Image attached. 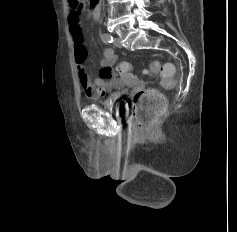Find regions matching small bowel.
Segmentation results:
<instances>
[{
    "instance_id": "small-bowel-1",
    "label": "small bowel",
    "mask_w": 237,
    "mask_h": 232,
    "mask_svg": "<svg viewBox=\"0 0 237 232\" xmlns=\"http://www.w3.org/2000/svg\"><path fill=\"white\" fill-rule=\"evenodd\" d=\"M99 10H94V16L97 17ZM69 29L74 44V54L79 73L80 85L85 95L91 99H98L109 95L108 102L115 101L123 89L124 83L113 69L117 56L112 48H106L103 51V57L100 60V72L98 77L92 78L87 72L85 61L87 57L86 47L82 33L80 15L73 11L69 14Z\"/></svg>"
}]
</instances>
